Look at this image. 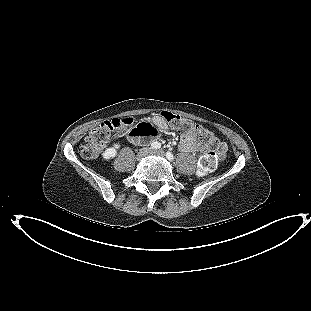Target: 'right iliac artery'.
Returning <instances> with one entry per match:
<instances>
[{
  "instance_id": "obj_1",
  "label": "right iliac artery",
  "mask_w": 311,
  "mask_h": 311,
  "mask_svg": "<svg viewBox=\"0 0 311 311\" xmlns=\"http://www.w3.org/2000/svg\"><path fill=\"white\" fill-rule=\"evenodd\" d=\"M160 147H161V144L158 143V142H153V143L151 144V148H152V149L157 150V149H159Z\"/></svg>"
}]
</instances>
